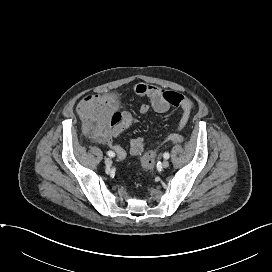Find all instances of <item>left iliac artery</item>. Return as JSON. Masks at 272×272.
Segmentation results:
<instances>
[{
	"instance_id": "44dca946",
	"label": "left iliac artery",
	"mask_w": 272,
	"mask_h": 272,
	"mask_svg": "<svg viewBox=\"0 0 272 272\" xmlns=\"http://www.w3.org/2000/svg\"><path fill=\"white\" fill-rule=\"evenodd\" d=\"M163 157H164L165 159H168V158L170 157V155H169V153L166 152V153L163 154Z\"/></svg>"
}]
</instances>
